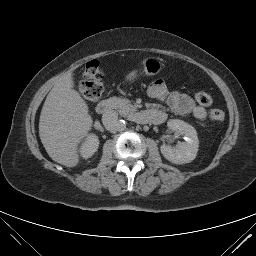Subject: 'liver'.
I'll return each instance as SVG.
<instances>
[{"instance_id": "1", "label": "liver", "mask_w": 256, "mask_h": 256, "mask_svg": "<svg viewBox=\"0 0 256 256\" xmlns=\"http://www.w3.org/2000/svg\"><path fill=\"white\" fill-rule=\"evenodd\" d=\"M73 87V73L62 76L46 97L39 120V136L46 152L66 167L79 163L78 144L93 123L87 103Z\"/></svg>"}]
</instances>
